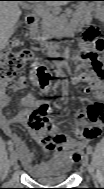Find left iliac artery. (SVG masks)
<instances>
[{
    "label": "left iliac artery",
    "mask_w": 104,
    "mask_h": 189,
    "mask_svg": "<svg viewBox=\"0 0 104 189\" xmlns=\"http://www.w3.org/2000/svg\"><path fill=\"white\" fill-rule=\"evenodd\" d=\"M87 153L92 154V147H90V146L87 147Z\"/></svg>",
    "instance_id": "left-iliac-artery-1"
}]
</instances>
